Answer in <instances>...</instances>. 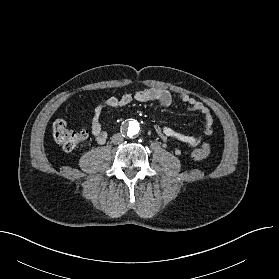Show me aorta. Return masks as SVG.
<instances>
[{
  "instance_id": "1",
  "label": "aorta",
  "mask_w": 279,
  "mask_h": 279,
  "mask_svg": "<svg viewBox=\"0 0 279 279\" xmlns=\"http://www.w3.org/2000/svg\"><path fill=\"white\" fill-rule=\"evenodd\" d=\"M125 131H126L127 135L130 137L136 136L140 131V125L135 120L128 121L125 124Z\"/></svg>"
}]
</instances>
